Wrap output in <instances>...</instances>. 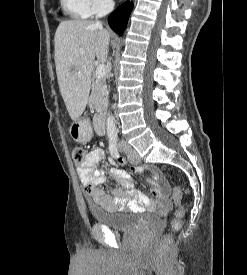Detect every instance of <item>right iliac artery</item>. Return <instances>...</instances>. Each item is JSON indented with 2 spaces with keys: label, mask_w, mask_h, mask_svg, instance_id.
I'll use <instances>...</instances> for the list:
<instances>
[{
  "label": "right iliac artery",
  "mask_w": 247,
  "mask_h": 275,
  "mask_svg": "<svg viewBox=\"0 0 247 275\" xmlns=\"http://www.w3.org/2000/svg\"><path fill=\"white\" fill-rule=\"evenodd\" d=\"M109 151L110 154L112 155V157L114 158H118L119 157V153H118V149L116 146V142H110L109 144Z\"/></svg>",
  "instance_id": "82829eb1"
}]
</instances>
